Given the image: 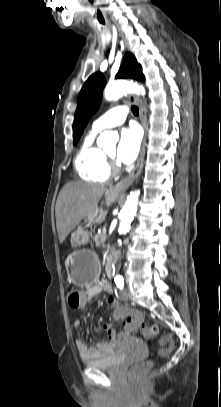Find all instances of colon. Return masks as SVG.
<instances>
[{
    "instance_id": "5ec220e1",
    "label": "colon",
    "mask_w": 221,
    "mask_h": 407,
    "mask_svg": "<svg viewBox=\"0 0 221 407\" xmlns=\"http://www.w3.org/2000/svg\"><path fill=\"white\" fill-rule=\"evenodd\" d=\"M88 293L86 286H79L77 291H71L70 297L67 298V305L71 311H82L86 303L85 295ZM142 309H135L133 305H116L111 311V316L123 322V328L127 330L140 329L146 338H154L158 334L156 326H146L144 324V315ZM165 348L161 349L158 354L161 357L168 356L174 349V342L170 337H163L161 340ZM150 361L141 362L132 366L129 370V380L132 384H139L148 370L151 368Z\"/></svg>"
}]
</instances>
